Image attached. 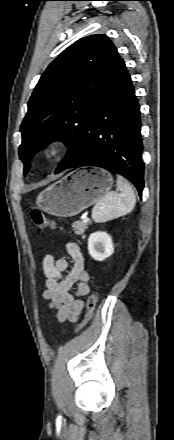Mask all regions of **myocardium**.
<instances>
[{
  "mask_svg": "<svg viewBox=\"0 0 174 440\" xmlns=\"http://www.w3.org/2000/svg\"><path fill=\"white\" fill-rule=\"evenodd\" d=\"M68 149V143L64 139L50 140L43 149V157L49 162H55L62 158Z\"/></svg>",
  "mask_w": 174,
  "mask_h": 440,
  "instance_id": "f54148a6",
  "label": "myocardium"
}]
</instances>
